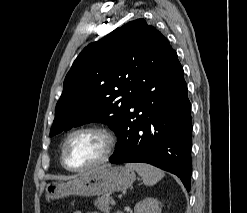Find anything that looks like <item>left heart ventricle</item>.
<instances>
[{
	"instance_id": "obj_1",
	"label": "left heart ventricle",
	"mask_w": 247,
	"mask_h": 213,
	"mask_svg": "<svg viewBox=\"0 0 247 213\" xmlns=\"http://www.w3.org/2000/svg\"><path fill=\"white\" fill-rule=\"evenodd\" d=\"M105 147V140L100 134L93 132L78 133L67 144V163L74 168L91 165L101 158Z\"/></svg>"
}]
</instances>
